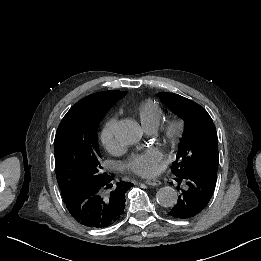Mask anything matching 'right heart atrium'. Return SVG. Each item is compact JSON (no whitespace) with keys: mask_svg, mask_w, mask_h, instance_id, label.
<instances>
[{"mask_svg":"<svg viewBox=\"0 0 261 261\" xmlns=\"http://www.w3.org/2000/svg\"><path fill=\"white\" fill-rule=\"evenodd\" d=\"M117 122L118 117L112 116L105 124L101 135V140L104 148L111 154H116L120 150L118 142L114 137V128Z\"/></svg>","mask_w":261,"mask_h":261,"instance_id":"right-heart-atrium-1","label":"right heart atrium"}]
</instances>
